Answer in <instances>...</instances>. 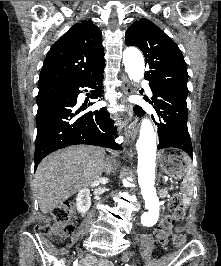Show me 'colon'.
<instances>
[{
    "mask_svg": "<svg viewBox=\"0 0 221 266\" xmlns=\"http://www.w3.org/2000/svg\"><path fill=\"white\" fill-rule=\"evenodd\" d=\"M74 203L71 200L61 202L53 210L54 225H39L35 227L36 232L55 237H66L72 235L76 226L73 222ZM185 216V206L180 195L175 194L169 201V214L164 216L159 223L155 235L159 243L166 244L175 224L181 222ZM174 243L178 247L184 246L186 237L183 233L177 232L173 237Z\"/></svg>",
    "mask_w": 221,
    "mask_h": 266,
    "instance_id": "colon-1",
    "label": "colon"
}]
</instances>
